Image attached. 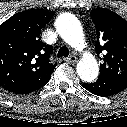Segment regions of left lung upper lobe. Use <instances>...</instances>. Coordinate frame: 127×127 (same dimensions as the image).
I'll return each instance as SVG.
<instances>
[{"instance_id": "left-lung-upper-lobe-1", "label": "left lung upper lobe", "mask_w": 127, "mask_h": 127, "mask_svg": "<svg viewBox=\"0 0 127 127\" xmlns=\"http://www.w3.org/2000/svg\"><path fill=\"white\" fill-rule=\"evenodd\" d=\"M91 17L98 37L95 51L104 55L100 76L127 86V21L106 8L94 9Z\"/></svg>"}]
</instances>
